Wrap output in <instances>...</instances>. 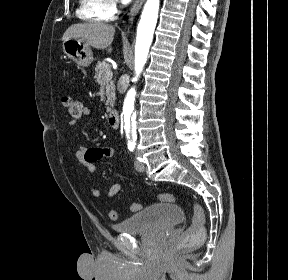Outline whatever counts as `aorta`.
<instances>
[{"instance_id":"obj_1","label":"aorta","mask_w":288,"mask_h":280,"mask_svg":"<svg viewBox=\"0 0 288 280\" xmlns=\"http://www.w3.org/2000/svg\"><path fill=\"white\" fill-rule=\"evenodd\" d=\"M160 0H147L137 27V37L135 45V81L138 80L145 64L149 48L153 40V34L158 19ZM136 96L135 88H131L124 101V120H137V106H134ZM124 126L125 140H137L138 126L136 121H122Z\"/></svg>"}]
</instances>
